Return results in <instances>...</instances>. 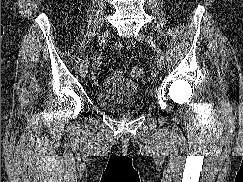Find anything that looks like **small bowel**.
<instances>
[{
    "mask_svg": "<svg viewBox=\"0 0 243 182\" xmlns=\"http://www.w3.org/2000/svg\"><path fill=\"white\" fill-rule=\"evenodd\" d=\"M101 65H102V57L98 56L94 60L92 65V70L94 73V81L97 85H102V82L96 76L101 68ZM110 82L115 87V89L113 90L115 92H130L134 88L133 83L128 79H126L121 72L114 73L110 79Z\"/></svg>",
    "mask_w": 243,
    "mask_h": 182,
    "instance_id": "1",
    "label": "small bowel"
}]
</instances>
